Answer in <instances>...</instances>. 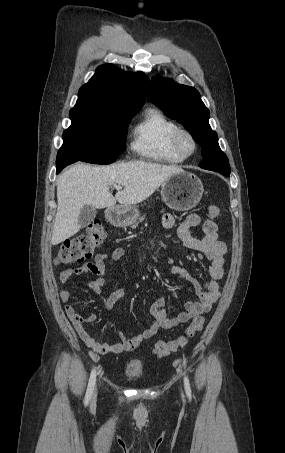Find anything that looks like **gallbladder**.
I'll use <instances>...</instances> for the list:
<instances>
[{
    "label": "gallbladder",
    "mask_w": 285,
    "mask_h": 453,
    "mask_svg": "<svg viewBox=\"0 0 285 453\" xmlns=\"http://www.w3.org/2000/svg\"><path fill=\"white\" fill-rule=\"evenodd\" d=\"M97 210L92 206H84L79 214L78 221L81 227H86L96 217Z\"/></svg>",
    "instance_id": "1"
}]
</instances>
